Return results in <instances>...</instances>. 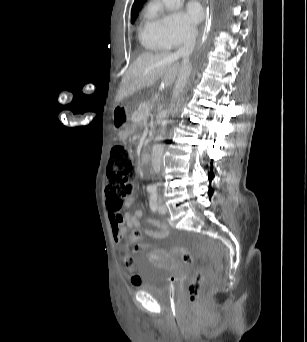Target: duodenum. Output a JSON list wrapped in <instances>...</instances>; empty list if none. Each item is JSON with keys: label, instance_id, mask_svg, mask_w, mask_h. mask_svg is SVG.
Masks as SVG:
<instances>
[{"label": "duodenum", "instance_id": "410a0bca", "mask_svg": "<svg viewBox=\"0 0 307 342\" xmlns=\"http://www.w3.org/2000/svg\"><path fill=\"white\" fill-rule=\"evenodd\" d=\"M149 152L148 151H142L141 153V162L143 165H145L146 163H148L149 161Z\"/></svg>", "mask_w": 307, "mask_h": 342}]
</instances>
